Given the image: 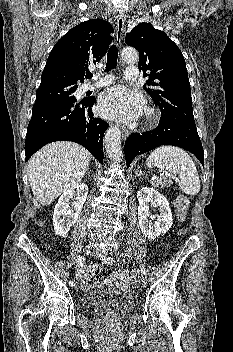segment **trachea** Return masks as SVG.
I'll use <instances>...</instances> for the list:
<instances>
[{"label": "trachea", "instance_id": "trachea-1", "mask_svg": "<svg viewBox=\"0 0 233 352\" xmlns=\"http://www.w3.org/2000/svg\"><path fill=\"white\" fill-rule=\"evenodd\" d=\"M118 59V49L116 45H111L107 54L106 70H110L116 67ZM92 73H87L86 78H92Z\"/></svg>", "mask_w": 233, "mask_h": 352}]
</instances>
